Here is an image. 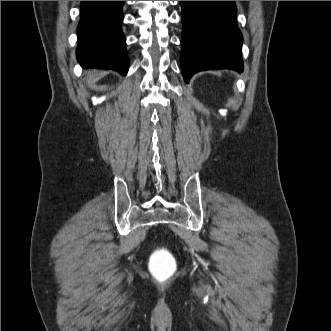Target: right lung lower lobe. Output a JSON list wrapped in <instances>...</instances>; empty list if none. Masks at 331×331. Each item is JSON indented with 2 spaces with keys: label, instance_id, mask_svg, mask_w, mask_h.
<instances>
[{
  "label": "right lung lower lobe",
  "instance_id": "1",
  "mask_svg": "<svg viewBox=\"0 0 331 331\" xmlns=\"http://www.w3.org/2000/svg\"><path fill=\"white\" fill-rule=\"evenodd\" d=\"M124 1H82L77 58L84 67L128 71L121 30Z\"/></svg>",
  "mask_w": 331,
  "mask_h": 331
}]
</instances>
